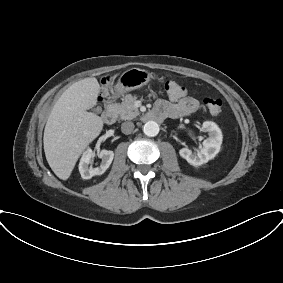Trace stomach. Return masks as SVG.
<instances>
[{
	"instance_id": "1",
	"label": "stomach",
	"mask_w": 283,
	"mask_h": 283,
	"mask_svg": "<svg viewBox=\"0 0 283 283\" xmlns=\"http://www.w3.org/2000/svg\"><path fill=\"white\" fill-rule=\"evenodd\" d=\"M152 78V74L139 68H131L125 71L115 86V94L122 95L146 85Z\"/></svg>"
}]
</instances>
